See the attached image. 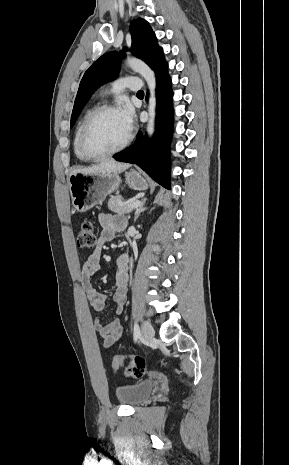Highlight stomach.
<instances>
[{"label":"stomach","mask_w":289,"mask_h":465,"mask_svg":"<svg viewBox=\"0 0 289 465\" xmlns=\"http://www.w3.org/2000/svg\"><path fill=\"white\" fill-rule=\"evenodd\" d=\"M125 182L135 190L148 188L146 178L139 171L126 172ZM120 183L121 177L116 173L71 174L69 190L74 210L82 213L102 204L108 195L118 190Z\"/></svg>","instance_id":"0dacf381"}]
</instances>
